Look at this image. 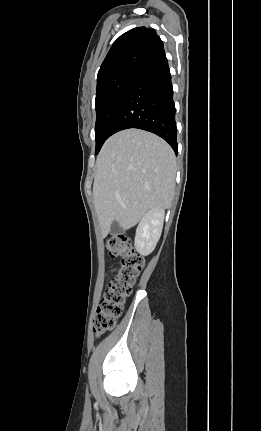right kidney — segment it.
<instances>
[{"label": "right kidney", "mask_w": 261, "mask_h": 431, "mask_svg": "<svg viewBox=\"0 0 261 431\" xmlns=\"http://www.w3.org/2000/svg\"><path fill=\"white\" fill-rule=\"evenodd\" d=\"M165 211L152 209L141 219L135 235V248L143 256L149 255L156 247L161 236Z\"/></svg>", "instance_id": "obj_1"}]
</instances>
